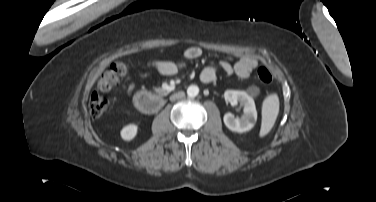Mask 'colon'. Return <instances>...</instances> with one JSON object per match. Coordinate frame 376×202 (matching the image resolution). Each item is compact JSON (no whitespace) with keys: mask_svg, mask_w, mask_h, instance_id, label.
Instances as JSON below:
<instances>
[{"mask_svg":"<svg viewBox=\"0 0 376 202\" xmlns=\"http://www.w3.org/2000/svg\"><path fill=\"white\" fill-rule=\"evenodd\" d=\"M128 72V65L125 62L113 63L109 69L99 78L98 90L101 92L111 91L119 81V78ZM257 78L263 84H269L272 81V74L266 67H259ZM108 100L98 93H93L89 101L90 114L93 117L103 115L108 108Z\"/></svg>","mask_w":376,"mask_h":202,"instance_id":"1","label":"colon"}]
</instances>
